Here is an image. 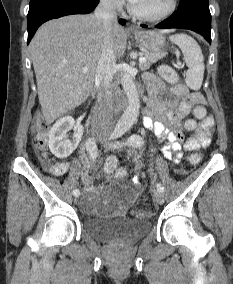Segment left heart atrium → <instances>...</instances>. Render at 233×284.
Here are the masks:
<instances>
[{
    "label": "left heart atrium",
    "instance_id": "1",
    "mask_svg": "<svg viewBox=\"0 0 233 284\" xmlns=\"http://www.w3.org/2000/svg\"><path fill=\"white\" fill-rule=\"evenodd\" d=\"M131 3H134L136 0H129Z\"/></svg>",
    "mask_w": 233,
    "mask_h": 284
}]
</instances>
